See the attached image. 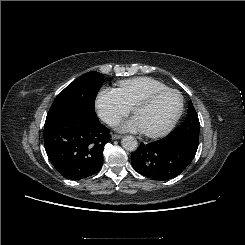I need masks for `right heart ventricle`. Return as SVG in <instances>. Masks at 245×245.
I'll list each match as a JSON object with an SVG mask.
<instances>
[{"label":"right heart ventricle","mask_w":245,"mask_h":245,"mask_svg":"<svg viewBox=\"0 0 245 245\" xmlns=\"http://www.w3.org/2000/svg\"><path fill=\"white\" fill-rule=\"evenodd\" d=\"M168 88L163 82L152 77H134L117 82V92L130 107L138 98L154 91Z\"/></svg>","instance_id":"obj_1"}]
</instances>
